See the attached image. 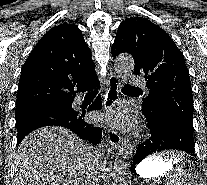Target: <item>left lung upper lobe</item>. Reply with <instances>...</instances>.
I'll return each instance as SVG.
<instances>
[{
	"label": "left lung upper lobe",
	"instance_id": "5c2ea615",
	"mask_svg": "<svg viewBox=\"0 0 207 185\" xmlns=\"http://www.w3.org/2000/svg\"><path fill=\"white\" fill-rule=\"evenodd\" d=\"M130 53L134 74L145 75L148 96L142 113H169L193 129V100L184 56L170 36L146 18L130 17L118 27L111 54Z\"/></svg>",
	"mask_w": 207,
	"mask_h": 185
}]
</instances>
